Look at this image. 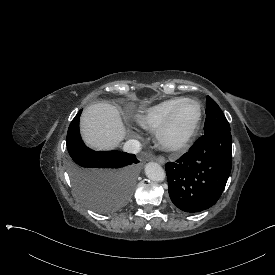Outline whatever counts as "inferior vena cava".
I'll return each instance as SVG.
<instances>
[{
    "label": "inferior vena cava",
    "instance_id": "inferior-vena-cava-1",
    "mask_svg": "<svg viewBox=\"0 0 275 275\" xmlns=\"http://www.w3.org/2000/svg\"><path fill=\"white\" fill-rule=\"evenodd\" d=\"M141 149V144L138 140H128L127 142H125L124 146H123V150L127 153H133L136 154L140 151Z\"/></svg>",
    "mask_w": 275,
    "mask_h": 275
}]
</instances>
